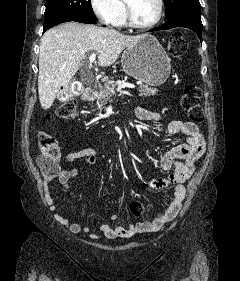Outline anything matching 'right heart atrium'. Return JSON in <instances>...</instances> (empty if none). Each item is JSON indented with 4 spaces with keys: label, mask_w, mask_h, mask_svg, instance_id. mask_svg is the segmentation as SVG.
Returning <instances> with one entry per match:
<instances>
[{
    "label": "right heart atrium",
    "mask_w": 240,
    "mask_h": 281,
    "mask_svg": "<svg viewBox=\"0 0 240 281\" xmlns=\"http://www.w3.org/2000/svg\"><path fill=\"white\" fill-rule=\"evenodd\" d=\"M89 5L93 14L103 24L111 25L114 23L117 15L116 0H89Z\"/></svg>",
    "instance_id": "1"
}]
</instances>
